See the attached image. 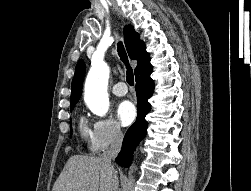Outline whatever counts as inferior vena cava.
<instances>
[{"instance_id":"obj_1","label":"inferior vena cava","mask_w":251,"mask_h":191,"mask_svg":"<svg viewBox=\"0 0 251 191\" xmlns=\"http://www.w3.org/2000/svg\"><path fill=\"white\" fill-rule=\"evenodd\" d=\"M122 139H123V133L118 123H115L112 131L111 145L101 155L102 161H105V163H107V165H110V167H112L111 163L112 159H115V157H117L121 149ZM113 181H116V183H118V177L116 175V171H113Z\"/></svg>"}]
</instances>
